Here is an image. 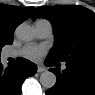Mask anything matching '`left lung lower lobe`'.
<instances>
[{
  "label": "left lung lower lobe",
  "instance_id": "1",
  "mask_svg": "<svg viewBox=\"0 0 95 95\" xmlns=\"http://www.w3.org/2000/svg\"><path fill=\"white\" fill-rule=\"evenodd\" d=\"M56 61L46 58L45 64L52 66ZM57 77L54 87L46 91L47 95H95V64L66 62V69L60 73L51 68Z\"/></svg>",
  "mask_w": 95,
  "mask_h": 95
}]
</instances>
